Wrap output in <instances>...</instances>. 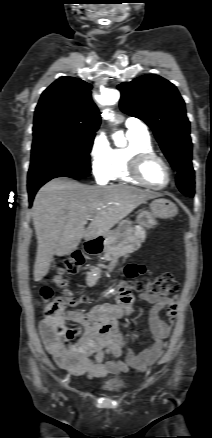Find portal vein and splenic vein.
<instances>
[{"label":"portal vein and splenic vein","mask_w":212,"mask_h":438,"mask_svg":"<svg viewBox=\"0 0 212 438\" xmlns=\"http://www.w3.org/2000/svg\"><path fill=\"white\" fill-rule=\"evenodd\" d=\"M87 220H91V221H92V220H93V217H92V216H88V217H87Z\"/></svg>","instance_id":"portal-vein-and-splenic-vein-1"}]
</instances>
